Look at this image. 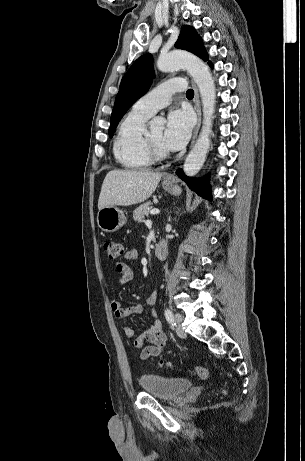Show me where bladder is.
<instances>
[{"label":"bladder","mask_w":305,"mask_h":461,"mask_svg":"<svg viewBox=\"0 0 305 461\" xmlns=\"http://www.w3.org/2000/svg\"><path fill=\"white\" fill-rule=\"evenodd\" d=\"M139 385L143 392L164 400H176L191 389L192 384L184 378H170L157 374H144L139 377Z\"/></svg>","instance_id":"1"}]
</instances>
